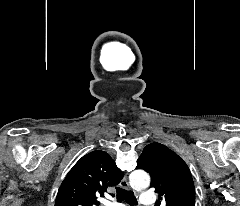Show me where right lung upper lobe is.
Masks as SVG:
<instances>
[{"mask_svg":"<svg viewBox=\"0 0 240 206\" xmlns=\"http://www.w3.org/2000/svg\"><path fill=\"white\" fill-rule=\"evenodd\" d=\"M124 174L104 151L83 156L62 182L55 206H98L97 198L118 185Z\"/></svg>","mask_w":240,"mask_h":206,"instance_id":"right-lung-upper-lobe-1","label":"right lung upper lobe"}]
</instances>
